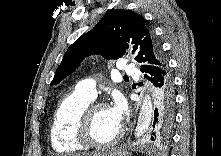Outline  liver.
Segmentation results:
<instances>
[{
    "mask_svg": "<svg viewBox=\"0 0 221 156\" xmlns=\"http://www.w3.org/2000/svg\"><path fill=\"white\" fill-rule=\"evenodd\" d=\"M96 154H90V156H95ZM77 156H85V154L77 155Z\"/></svg>",
    "mask_w": 221,
    "mask_h": 156,
    "instance_id": "6515ba94",
    "label": "liver"
}]
</instances>
